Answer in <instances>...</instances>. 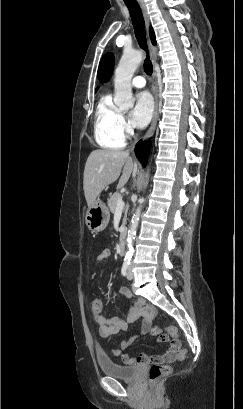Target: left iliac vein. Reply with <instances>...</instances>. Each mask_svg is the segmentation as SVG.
Segmentation results:
<instances>
[{"label":"left iliac vein","instance_id":"left-iliac-vein-1","mask_svg":"<svg viewBox=\"0 0 243 409\" xmlns=\"http://www.w3.org/2000/svg\"><path fill=\"white\" fill-rule=\"evenodd\" d=\"M127 278L129 280H131L133 278L132 265H130L129 268H128Z\"/></svg>","mask_w":243,"mask_h":409}]
</instances>
